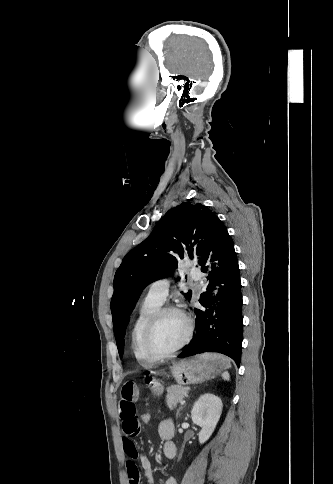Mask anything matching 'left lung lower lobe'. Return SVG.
<instances>
[{"mask_svg":"<svg viewBox=\"0 0 333 484\" xmlns=\"http://www.w3.org/2000/svg\"><path fill=\"white\" fill-rule=\"evenodd\" d=\"M198 264L208 274L203 309H194L195 335L179 358L219 352L240 365L243 317L240 272L233 240L218 217L213 218Z\"/></svg>","mask_w":333,"mask_h":484,"instance_id":"left-lung-lower-lobe-1","label":"left lung lower lobe"}]
</instances>
